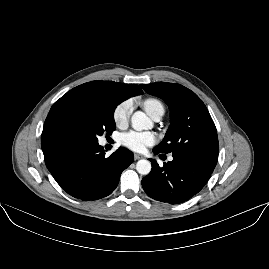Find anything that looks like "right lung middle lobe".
Here are the masks:
<instances>
[{"mask_svg": "<svg viewBox=\"0 0 269 269\" xmlns=\"http://www.w3.org/2000/svg\"><path fill=\"white\" fill-rule=\"evenodd\" d=\"M117 105L106 100L59 99L51 107L44 127L64 128L81 141L97 142L98 136L116 129L113 114Z\"/></svg>", "mask_w": 269, "mask_h": 269, "instance_id": "dd1d6c3e", "label": "right lung middle lobe"}]
</instances>
